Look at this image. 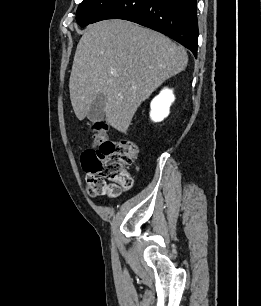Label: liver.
<instances>
[{
    "label": "liver",
    "mask_w": 261,
    "mask_h": 306,
    "mask_svg": "<svg viewBox=\"0 0 261 306\" xmlns=\"http://www.w3.org/2000/svg\"><path fill=\"white\" fill-rule=\"evenodd\" d=\"M187 63L183 47L151 29L121 19L89 25L77 45L70 75L74 113L83 120L102 93L106 121L126 133L141 103Z\"/></svg>",
    "instance_id": "obj_1"
}]
</instances>
